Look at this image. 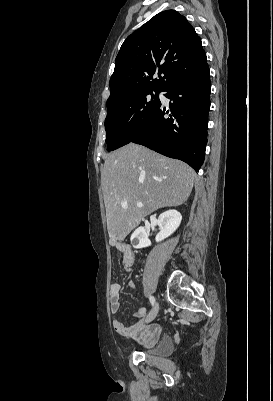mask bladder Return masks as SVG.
Listing matches in <instances>:
<instances>
[{
    "label": "bladder",
    "mask_w": 273,
    "mask_h": 401,
    "mask_svg": "<svg viewBox=\"0 0 273 401\" xmlns=\"http://www.w3.org/2000/svg\"><path fill=\"white\" fill-rule=\"evenodd\" d=\"M175 350V342L174 339L169 335H164L160 340L158 345L147 351V355L155 356V357H164L172 354Z\"/></svg>",
    "instance_id": "1"
}]
</instances>
